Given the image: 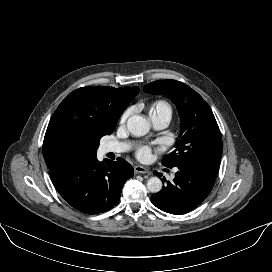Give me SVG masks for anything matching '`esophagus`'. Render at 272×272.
Wrapping results in <instances>:
<instances>
[{
    "label": "esophagus",
    "mask_w": 272,
    "mask_h": 272,
    "mask_svg": "<svg viewBox=\"0 0 272 272\" xmlns=\"http://www.w3.org/2000/svg\"><path fill=\"white\" fill-rule=\"evenodd\" d=\"M134 171H135V173H139V174L149 173V170L146 167L141 166V165L135 166Z\"/></svg>",
    "instance_id": "1"
}]
</instances>
